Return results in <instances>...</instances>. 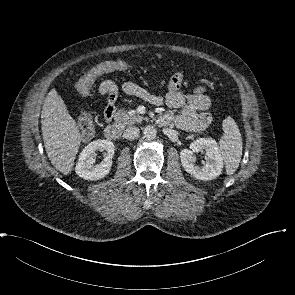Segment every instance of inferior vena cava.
Instances as JSON below:
<instances>
[{
    "mask_svg": "<svg viewBox=\"0 0 295 295\" xmlns=\"http://www.w3.org/2000/svg\"><path fill=\"white\" fill-rule=\"evenodd\" d=\"M140 130L138 127L135 126H129L124 131V137L128 140H133L139 137Z\"/></svg>",
    "mask_w": 295,
    "mask_h": 295,
    "instance_id": "602c4592",
    "label": "inferior vena cava"
}]
</instances>
